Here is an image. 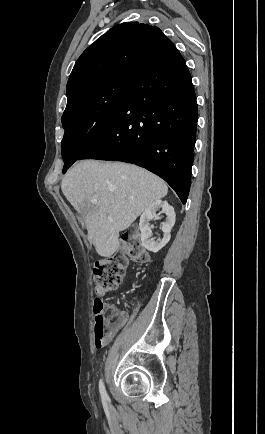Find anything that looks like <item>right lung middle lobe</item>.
Instances as JSON below:
<instances>
[{
  "mask_svg": "<svg viewBox=\"0 0 265 434\" xmlns=\"http://www.w3.org/2000/svg\"><path fill=\"white\" fill-rule=\"evenodd\" d=\"M136 76L112 75L67 91L62 116L63 172L78 160L106 131L116 117Z\"/></svg>",
  "mask_w": 265,
  "mask_h": 434,
  "instance_id": "dd1d6c3e",
  "label": "right lung middle lobe"
}]
</instances>
